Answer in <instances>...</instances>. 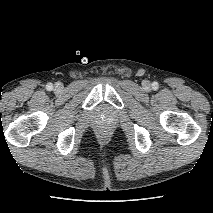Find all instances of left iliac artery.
<instances>
[{
	"label": "left iliac artery",
	"instance_id": "obj_1",
	"mask_svg": "<svg viewBox=\"0 0 213 213\" xmlns=\"http://www.w3.org/2000/svg\"><path fill=\"white\" fill-rule=\"evenodd\" d=\"M158 87H159V84H158L157 82H153V83H152V88H153L154 90L158 89Z\"/></svg>",
	"mask_w": 213,
	"mask_h": 213
}]
</instances>
